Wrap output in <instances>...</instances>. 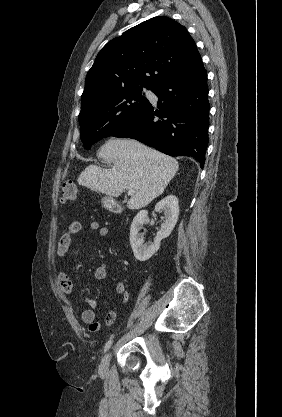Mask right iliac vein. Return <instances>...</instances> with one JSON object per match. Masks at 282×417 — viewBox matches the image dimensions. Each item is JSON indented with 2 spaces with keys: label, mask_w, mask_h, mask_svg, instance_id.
I'll use <instances>...</instances> for the list:
<instances>
[{
  "label": "right iliac vein",
  "mask_w": 282,
  "mask_h": 417,
  "mask_svg": "<svg viewBox=\"0 0 282 417\" xmlns=\"http://www.w3.org/2000/svg\"><path fill=\"white\" fill-rule=\"evenodd\" d=\"M110 359H111V352H108L102 358L100 366H99V372L101 374H105L107 372L108 367H109V363H110Z\"/></svg>",
  "instance_id": "right-iliac-vein-1"
}]
</instances>
